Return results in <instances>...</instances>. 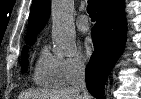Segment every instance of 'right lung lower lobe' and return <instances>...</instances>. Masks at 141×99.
Here are the masks:
<instances>
[{"mask_svg": "<svg viewBox=\"0 0 141 99\" xmlns=\"http://www.w3.org/2000/svg\"><path fill=\"white\" fill-rule=\"evenodd\" d=\"M124 0H107L97 11V23L91 35L94 52L86 66V85L97 99L104 95V84L126 39Z\"/></svg>", "mask_w": 141, "mask_h": 99, "instance_id": "1", "label": "right lung lower lobe"}]
</instances>
